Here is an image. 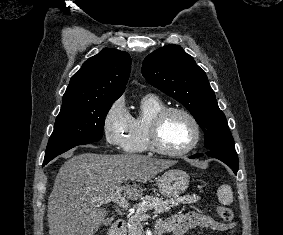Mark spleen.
I'll use <instances>...</instances> for the list:
<instances>
[{"mask_svg": "<svg viewBox=\"0 0 283 235\" xmlns=\"http://www.w3.org/2000/svg\"><path fill=\"white\" fill-rule=\"evenodd\" d=\"M217 197L221 204L230 205L233 202L234 196L233 191L230 186L222 185L217 190Z\"/></svg>", "mask_w": 283, "mask_h": 235, "instance_id": "3e777b00", "label": "spleen"}]
</instances>
